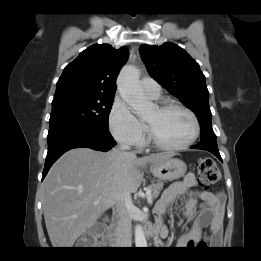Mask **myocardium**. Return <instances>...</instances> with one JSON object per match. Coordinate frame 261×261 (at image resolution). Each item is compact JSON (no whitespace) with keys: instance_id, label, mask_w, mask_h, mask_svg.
Listing matches in <instances>:
<instances>
[{"instance_id":"myocardium-1","label":"myocardium","mask_w":261,"mask_h":261,"mask_svg":"<svg viewBox=\"0 0 261 261\" xmlns=\"http://www.w3.org/2000/svg\"><path fill=\"white\" fill-rule=\"evenodd\" d=\"M156 108L160 112H165L170 109H180V110L184 111L191 118V120L193 122V132H192V135L190 136V138L188 140H186L184 143L177 144V145H168V144H164V143L160 142L155 137L149 124L145 122L147 139H148V143L150 145H152L153 147H155L157 149L164 150V151H180V150H184V149L188 148L196 141V139L198 138V136L200 134V123H199V120H198L196 114L190 108L186 107L185 105H183L179 102H175V101L162 102V103L158 104L156 106Z\"/></svg>"}]
</instances>
